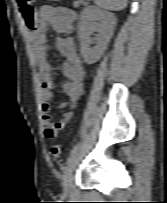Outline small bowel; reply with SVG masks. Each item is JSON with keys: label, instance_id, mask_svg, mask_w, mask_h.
Segmentation results:
<instances>
[{"label": "small bowel", "instance_id": "1", "mask_svg": "<svg viewBox=\"0 0 167 203\" xmlns=\"http://www.w3.org/2000/svg\"><path fill=\"white\" fill-rule=\"evenodd\" d=\"M75 14L65 8L44 6L41 7L35 18L34 27L29 34V41L33 56L41 74V109L42 125L47 138H54L72 119V109L77 105L83 90V83L86 71L77 53L73 37V26ZM51 29L57 34H64L56 40L59 53L65 57L62 64V73L65 81L62 84V91L66 98L59 104V109L69 107L58 121H53L50 116L51 100L54 96L53 67L49 60V46L47 43V30Z\"/></svg>", "mask_w": 167, "mask_h": 203}]
</instances>
